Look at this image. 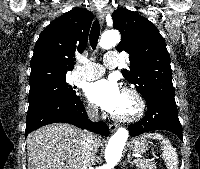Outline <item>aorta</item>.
Returning a JSON list of instances; mask_svg holds the SVG:
<instances>
[{"label": "aorta", "mask_w": 200, "mask_h": 169, "mask_svg": "<svg viewBox=\"0 0 200 169\" xmlns=\"http://www.w3.org/2000/svg\"><path fill=\"white\" fill-rule=\"evenodd\" d=\"M119 41V32L111 30L103 33L99 45L102 49H110L115 47ZM128 136L129 132L126 128L120 127L116 130V132L109 139L105 150V164L99 169H113L118 164Z\"/></svg>", "instance_id": "762f6f07"}]
</instances>
